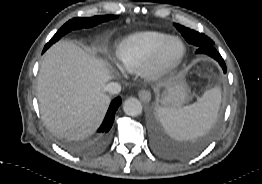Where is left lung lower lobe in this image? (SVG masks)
<instances>
[{
    "label": "left lung lower lobe",
    "mask_w": 262,
    "mask_h": 184,
    "mask_svg": "<svg viewBox=\"0 0 262 184\" xmlns=\"http://www.w3.org/2000/svg\"><path fill=\"white\" fill-rule=\"evenodd\" d=\"M196 53H204L214 58L221 65L224 73L227 72L225 62L214 45L201 46ZM148 131L152 148L160 156L171 160H185L201 153L209 143V137H196L179 140L172 137L158 113H152L149 118Z\"/></svg>",
    "instance_id": "left-lung-lower-lobe-1"
}]
</instances>
